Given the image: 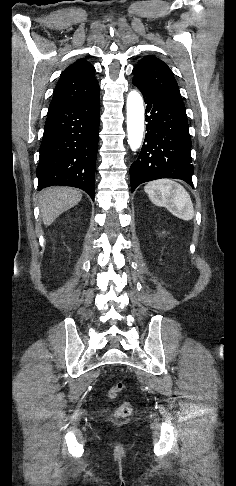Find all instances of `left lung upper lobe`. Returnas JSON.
<instances>
[{
	"label": "left lung upper lobe",
	"instance_id": "1",
	"mask_svg": "<svg viewBox=\"0 0 236 486\" xmlns=\"http://www.w3.org/2000/svg\"><path fill=\"white\" fill-rule=\"evenodd\" d=\"M134 78L150 86L156 93L185 108L172 71L159 58L148 55L133 69Z\"/></svg>",
	"mask_w": 236,
	"mask_h": 486
}]
</instances>
